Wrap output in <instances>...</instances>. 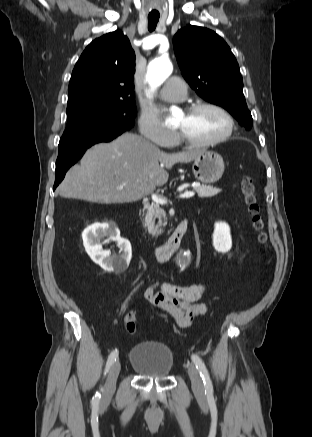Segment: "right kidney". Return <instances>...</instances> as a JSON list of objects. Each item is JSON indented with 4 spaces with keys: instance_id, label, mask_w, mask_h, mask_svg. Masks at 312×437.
Returning a JSON list of instances; mask_svg holds the SVG:
<instances>
[{
    "instance_id": "1",
    "label": "right kidney",
    "mask_w": 312,
    "mask_h": 437,
    "mask_svg": "<svg viewBox=\"0 0 312 437\" xmlns=\"http://www.w3.org/2000/svg\"><path fill=\"white\" fill-rule=\"evenodd\" d=\"M104 237H107L106 241L117 243L119 255L111 256L110 251L102 248L100 241ZM82 238L87 254L105 271L121 272L128 267L132 257L131 244L127 239L120 237V231L116 226L95 223L83 231Z\"/></svg>"
}]
</instances>
